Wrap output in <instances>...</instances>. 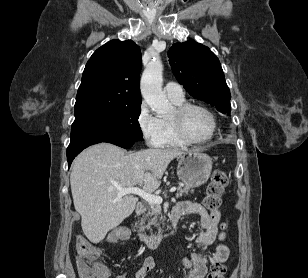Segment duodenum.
Returning <instances> with one entry per match:
<instances>
[{"mask_svg":"<svg viewBox=\"0 0 308 278\" xmlns=\"http://www.w3.org/2000/svg\"><path fill=\"white\" fill-rule=\"evenodd\" d=\"M144 210V206L142 204H138L136 206L135 209V215L138 216L140 215ZM178 216L175 214L174 211L171 212V223L172 226L174 227L178 221ZM139 238L142 242H144L147 246L151 247V248H155L157 247L160 242L163 239V235L162 234H157V235H146V234H142L139 233Z\"/></svg>","mask_w":308,"mask_h":278,"instance_id":"obj_1","label":"duodenum"}]
</instances>
